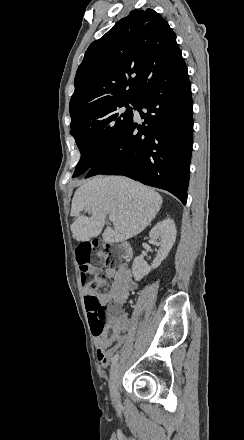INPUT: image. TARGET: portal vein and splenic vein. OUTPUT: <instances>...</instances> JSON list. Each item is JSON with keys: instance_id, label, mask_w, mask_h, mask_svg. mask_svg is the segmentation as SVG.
Wrapping results in <instances>:
<instances>
[{"instance_id": "1", "label": "portal vein and splenic vein", "mask_w": 244, "mask_h": 440, "mask_svg": "<svg viewBox=\"0 0 244 440\" xmlns=\"http://www.w3.org/2000/svg\"><path fill=\"white\" fill-rule=\"evenodd\" d=\"M109 220L110 222H116V216H113V214H109Z\"/></svg>"}]
</instances>
